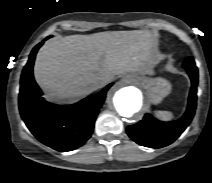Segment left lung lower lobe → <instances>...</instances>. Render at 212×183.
Wrapping results in <instances>:
<instances>
[{"instance_id":"0a47b994","label":"left lung lower lobe","mask_w":212,"mask_h":183,"mask_svg":"<svg viewBox=\"0 0 212 183\" xmlns=\"http://www.w3.org/2000/svg\"><path fill=\"white\" fill-rule=\"evenodd\" d=\"M183 67L192 83L185 114L172 122H161L146 114L141 122L130 125L126 129L127 134L136 143L151 148L165 147L174 142L190 124L196 109L198 69L191 57L183 63Z\"/></svg>"}]
</instances>
